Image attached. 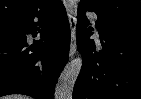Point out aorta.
Returning <instances> with one entry per match:
<instances>
[{
  "label": "aorta",
  "mask_w": 141,
  "mask_h": 99,
  "mask_svg": "<svg viewBox=\"0 0 141 99\" xmlns=\"http://www.w3.org/2000/svg\"><path fill=\"white\" fill-rule=\"evenodd\" d=\"M82 57L69 62L61 72L55 89V99H72L76 79L81 71Z\"/></svg>",
  "instance_id": "762f6f07"
}]
</instances>
